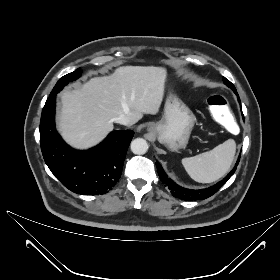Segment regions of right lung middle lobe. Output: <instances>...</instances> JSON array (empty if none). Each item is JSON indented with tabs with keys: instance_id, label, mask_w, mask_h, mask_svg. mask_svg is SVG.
Segmentation results:
<instances>
[{
	"instance_id": "dd1d6c3e",
	"label": "right lung middle lobe",
	"mask_w": 280,
	"mask_h": 280,
	"mask_svg": "<svg viewBox=\"0 0 280 280\" xmlns=\"http://www.w3.org/2000/svg\"><path fill=\"white\" fill-rule=\"evenodd\" d=\"M81 75L80 68L76 69L74 72L69 73L59 79V81L56 83L55 87L53 88L50 95L57 94L60 90L63 89L65 85H67L69 82L76 80Z\"/></svg>"
}]
</instances>
